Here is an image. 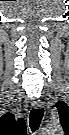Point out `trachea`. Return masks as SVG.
I'll return each mask as SVG.
<instances>
[{
	"mask_svg": "<svg viewBox=\"0 0 69 135\" xmlns=\"http://www.w3.org/2000/svg\"><path fill=\"white\" fill-rule=\"evenodd\" d=\"M43 115H44V109L42 108H34L31 110L30 116H29V126L32 132H35L36 130H38L41 120L43 118Z\"/></svg>",
	"mask_w": 69,
	"mask_h": 135,
	"instance_id": "obj_1",
	"label": "trachea"
}]
</instances>
